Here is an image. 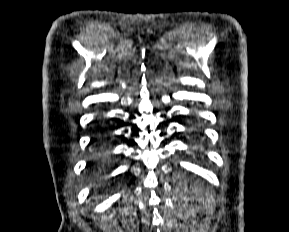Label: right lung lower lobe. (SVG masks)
<instances>
[{
  "label": "right lung lower lobe",
  "mask_w": 289,
  "mask_h": 232,
  "mask_svg": "<svg viewBox=\"0 0 289 232\" xmlns=\"http://www.w3.org/2000/svg\"><path fill=\"white\" fill-rule=\"evenodd\" d=\"M106 132H101L95 139L96 143V151L92 156V164L98 165L101 164L105 160V148L103 143L107 140Z\"/></svg>",
  "instance_id": "obj_1"
}]
</instances>
